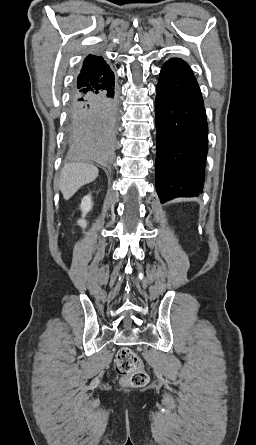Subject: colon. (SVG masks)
<instances>
[{"label": "colon", "mask_w": 256, "mask_h": 445, "mask_svg": "<svg viewBox=\"0 0 256 445\" xmlns=\"http://www.w3.org/2000/svg\"><path fill=\"white\" fill-rule=\"evenodd\" d=\"M115 369L124 384L140 388L148 383L149 377L140 357L130 348H122L116 357Z\"/></svg>", "instance_id": "colon-1"}]
</instances>
